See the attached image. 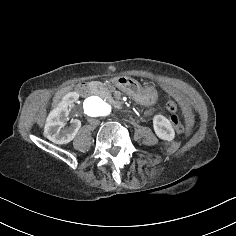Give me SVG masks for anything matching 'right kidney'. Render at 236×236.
<instances>
[{"mask_svg": "<svg viewBox=\"0 0 236 236\" xmlns=\"http://www.w3.org/2000/svg\"><path fill=\"white\" fill-rule=\"evenodd\" d=\"M79 94L73 90L63 93L58 100L51 103L45 110L47 121L44 128L45 136L55 144H67L74 139L81 127V121L65 117V110L77 102Z\"/></svg>", "mask_w": 236, "mask_h": 236, "instance_id": "obj_1", "label": "right kidney"}]
</instances>
